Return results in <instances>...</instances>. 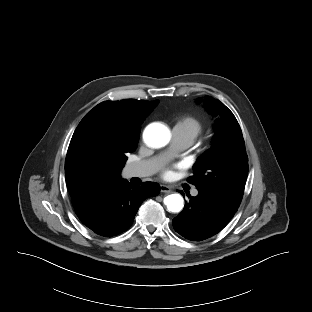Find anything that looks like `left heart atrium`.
<instances>
[{
  "mask_svg": "<svg viewBox=\"0 0 312 312\" xmlns=\"http://www.w3.org/2000/svg\"><path fill=\"white\" fill-rule=\"evenodd\" d=\"M162 175L164 178H171L172 176V171L170 170V168H165L162 172Z\"/></svg>",
  "mask_w": 312,
  "mask_h": 312,
  "instance_id": "obj_1",
  "label": "left heart atrium"
}]
</instances>
